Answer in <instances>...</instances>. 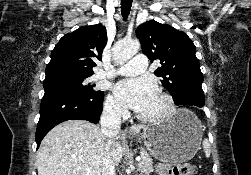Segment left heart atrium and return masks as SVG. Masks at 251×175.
I'll return each instance as SVG.
<instances>
[{
  "label": "left heart atrium",
  "instance_id": "left-heart-atrium-1",
  "mask_svg": "<svg viewBox=\"0 0 251 175\" xmlns=\"http://www.w3.org/2000/svg\"><path fill=\"white\" fill-rule=\"evenodd\" d=\"M117 100L140 113H147L156 103L159 93L156 82L149 77H129L114 86Z\"/></svg>",
  "mask_w": 251,
  "mask_h": 175
}]
</instances>
